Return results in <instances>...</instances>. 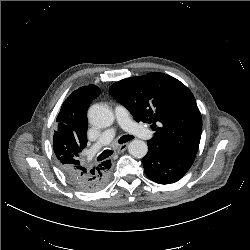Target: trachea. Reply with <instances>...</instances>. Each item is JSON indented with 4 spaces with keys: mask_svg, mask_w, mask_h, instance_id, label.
<instances>
[{
    "mask_svg": "<svg viewBox=\"0 0 250 250\" xmlns=\"http://www.w3.org/2000/svg\"><path fill=\"white\" fill-rule=\"evenodd\" d=\"M134 137L131 135H123L118 142L120 144L126 143L130 140H132ZM113 154L112 150H104L97 158L98 161L104 160L106 158H108L109 156H111Z\"/></svg>",
    "mask_w": 250,
    "mask_h": 250,
    "instance_id": "trachea-1",
    "label": "trachea"
}]
</instances>
